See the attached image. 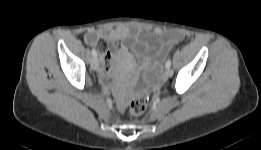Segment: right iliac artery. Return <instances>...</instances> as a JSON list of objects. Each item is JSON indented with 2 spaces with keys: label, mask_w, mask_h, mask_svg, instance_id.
<instances>
[{
  "label": "right iliac artery",
  "mask_w": 261,
  "mask_h": 150,
  "mask_svg": "<svg viewBox=\"0 0 261 150\" xmlns=\"http://www.w3.org/2000/svg\"><path fill=\"white\" fill-rule=\"evenodd\" d=\"M91 53H92L93 57H96V56H97L96 50L92 49Z\"/></svg>",
  "instance_id": "1"
}]
</instances>
